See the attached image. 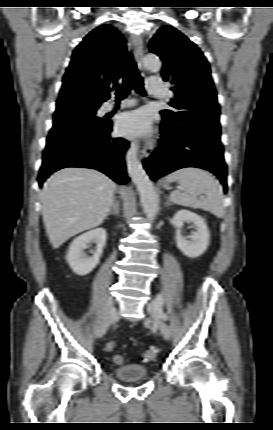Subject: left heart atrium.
<instances>
[{"mask_svg":"<svg viewBox=\"0 0 273 430\" xmlns=\"http://www.w3.org/2000/svg\"><path fill=\"white\" fill-rule=\"evenodd\" d=\"M118 131L126 137H134L150 132L151 117L147 110L140 109L121 116Z\"/></svg>","mask_w":273,"mask_h":430,"instance_id":"obj_1","label":"left heart atrium"}]
</instances>
